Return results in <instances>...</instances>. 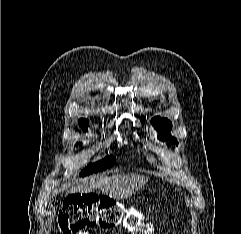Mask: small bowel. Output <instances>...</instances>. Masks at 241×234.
I'll return each instance as SVG.
<instances>
[{
    "instance_id": "obj_1",
    "label": "small bowel",
    "mask_w": 241,
    "mask_h": 234,
    "mask_svg": "<svg viewBox=\"0 0 241 234\" xmlns=\"http://www.w3.org/2000/svg\"><path fill=\"white\" fill-rule=\"evenodd\" d=\"M78 234H92V233L88 230H81L78 232Z\"/></svg>"
}]
</instances>
